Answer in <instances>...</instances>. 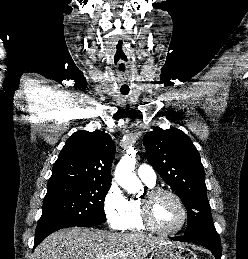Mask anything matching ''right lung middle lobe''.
<instances>
[{"label":"right lung middle lobe","mask_w":248,"mask_h":259,"mask_svg":"<svg viewBox=\"0 0 248 259\" xmlns=\"http://www.w3.org/2000/svg\"><path fill=\"white\" fill-rule=\"evenodd\" d=\"M110 186L100 183L48 185L38 226L64 222L91 227L104 223V199Z\"/></svg>","instance_id":"1"}]
</instances>
